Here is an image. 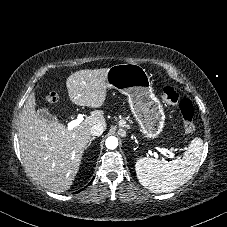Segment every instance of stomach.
<instances>
[{
    "label": "stomach",
    "mask_w": 227,
    "mask_h": 227,
    "mask_svg": "<svg viewBox=\"0 0 227 227\" xmlns=\"http://www.w3.org/2000/svg\"><path fill=\"white\" fill-rule=\"evenodd\" d=\"M108 88H114L128 97L131 111L147 139L157 138L165 124V114L153 93L150 76L136 63L113 65L106 75Z\"/></svg>",
    "instance_id": "1"
}]
</instances>
